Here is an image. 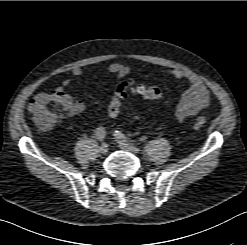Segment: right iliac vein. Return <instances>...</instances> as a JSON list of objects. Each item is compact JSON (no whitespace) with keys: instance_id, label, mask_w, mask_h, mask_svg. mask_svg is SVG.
Listing matches in <instances>:
<instances>
[{"instance_id":"1","label":"right iliac vein","mask_w":247,"mask_h":245,"mask_svg":"<svg viewBox=\"0 0 247 245\" xmlns=\"http://www.w3.org/2000/svg\"><path fill=\"white\" fill-rule=\"evenodd\" d=\"M109 148L108 145L106 143H102L101 146L99 147V153L102 155L107 154Z\"/></svg>"}]
</instances>
